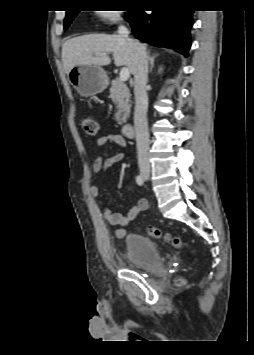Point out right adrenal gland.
<instances>
[{
	"label": "right adrenal gland",
	"mask_w": 254,
	"mask_h": 355,
	"mask_svg": "<svg viewBox=\"0 0 254 355\" xmlns=\"http://www.w3.org/2000/svg\"><path fill=\"white\" fill-rule=\"evenodd\" d=\"M157 56H159V54L151 55L150 52H148L147 58H148V61H149V64H150L149 73H151L152 70H153V67H154V60H155V58H156Z\"/></svg>",
	"instance_id": "2a0ac1e0"
}]
</instances>
